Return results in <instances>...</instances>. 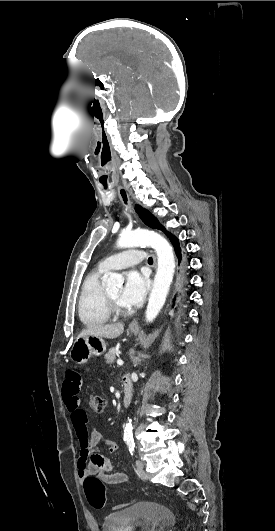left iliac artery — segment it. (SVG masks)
<instances>
[{"label": "left iliac artery", "instance_id": "1", "mask_svg": "<svg viewBox=\"0 0 275 531\" xmlns=\"http://www.w3.org/2000/svg\"><path fill=\"white\" fill-rule=\"evenodd\" d=\"M127 446H128V450H129L130 454L133 455L134 447H135L134 440L133 439H128L127 440Z\"/></svg>", "mask_w": 275, "mask_h": 531}]
</instances>
